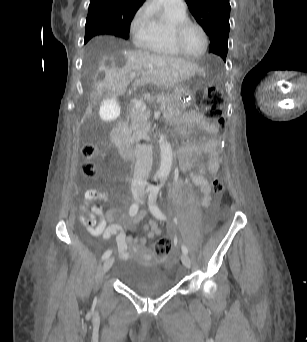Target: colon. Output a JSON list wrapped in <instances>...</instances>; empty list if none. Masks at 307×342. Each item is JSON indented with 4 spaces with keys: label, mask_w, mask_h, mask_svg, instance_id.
<instances>
[{
    "label": "colon",
    "mask_w": 307,
    "mask_h": 342,
    "mask_svg": "<svg viewBox=\"0 0 307 342\" xmlns=\"http://www.w3.org/2000/svg\"><path fill=\"white\" fill-rule=\"evenodd\" d=\"M225 93L224 87L209 86L205 90V97L203 100V108L207 118L215 121L219 125L225 123L223 115L222 103ZM103 148L101 146L87 143L82 148V155L87 159L83 163L81 170L84 176L88 178H95L97 174V164L95 157ZM210 184L214 192L222 193L224 190L223 180L219 173L214 172L210 178ZM154 253L158 257H168L172 251V242L167 237L159 239L153 247ZM176 262H179L178 256H174Z\"/></svg>",
    "instance_id": "1"
}]
</instances>
